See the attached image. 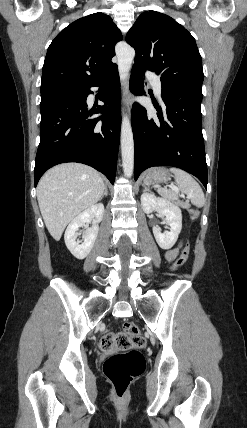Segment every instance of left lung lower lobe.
Returning a JSON list of instances; mask_svg holds the SVG:
<instances>
[{
    "mask_svg": "<svg viewBox=\"0 0 247 428\" xmlns=\"http://www.w3.org/2000/svg\"><path fill=\"white\" fill-rule=\"evenodd\" d=\"M144 69L134 67L130 90L142 95ZM164 110L154 105L157 116L151 118L144 107L134 103V178L153 166H174L196 176L207 188V164L202 135V97L162 88Z\"/></svg>",
    "mask_w": 247,
    "mask_h": 428,
    "instance_id": "0a47b994",
    "label": "left lung lower lobe"
}]
</instances>
